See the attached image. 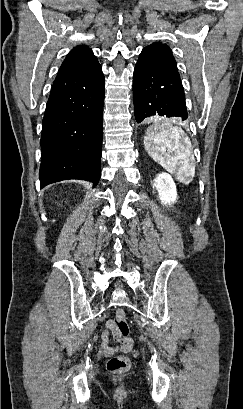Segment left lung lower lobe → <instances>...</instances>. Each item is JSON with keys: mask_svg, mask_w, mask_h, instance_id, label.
<instances>
[{"mask_svg": "<svg viewBox=\"0 0 243 409\" xmlns=\"http://www.w3.org/2000/svg\"><path fill=\"white\" fill-rule=\"evenodd\" d=\"M135 119L159 115L188 117L180 75L146 64L136 63L133 80Z\"/></svg>", "mask_w": 243, "mask_h": 409, "instance_id": "left-lung-lower-lobe-1", "label": "left lung lower lobe"}]
</instances>
